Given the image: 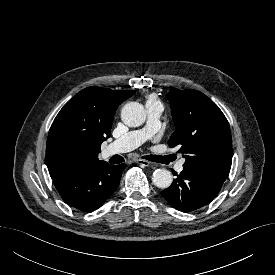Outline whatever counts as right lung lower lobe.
I'll return each mask as SVG.
<instances>
[{"instance_id":"98d812e1","label":"right lung lower lobe","mask_w":275,"mask_h":275,"mask_svg":"<svg viewBox=\"0 0 275 275\" xmlns=\"http://www.w3.org/2000/svg\"><path fill=\"white\" fill-rule=\"evenodd\" d=\"M126 164L98 165L53 178L63 200L84 212L98 209L117 189Z\"/></svg>"}]
</instances>
